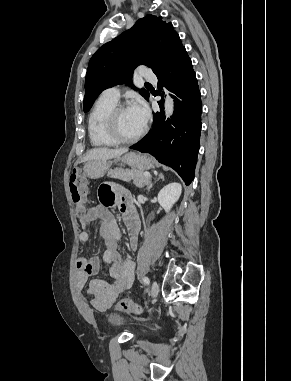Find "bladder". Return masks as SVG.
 I'll return each mask as SVG.
<instances>
[{
  "label": "bladder",
  "instance_id": "1",
  "mask_svg": "<svg viewBox=\"0 0 291 381\" xmlns=\"http://www.w3.org/2000/svg\"><path fill=\"white\" fill-rule=\"evenodd\" d=\"M106 320L109 324L117 326L125 321V317L115 313H108L106 314Z\"/></svg>",
  "mask_w": 291,
  "mask_h": 381
}]
</instances>
